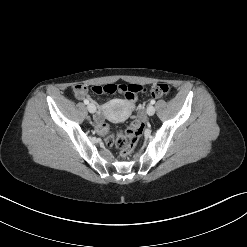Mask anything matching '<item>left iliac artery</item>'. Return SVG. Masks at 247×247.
Segmentation results:
<instances>
[{"instance_id":"left-iliac-artery-1","label":"left iliac artery","mask_w":247,"mask_h":247,"mask_svg":"<svg viewBox=\"0 0 247 247\" xmlns=\"http://www.w3.org/2000/svg\"><path fill=\"white\" fill-rule=\"evenodd\" d=\"M150 103H151V104H155V100L152 99V100L150 101Z\"/></svg>"}]
</instances>
